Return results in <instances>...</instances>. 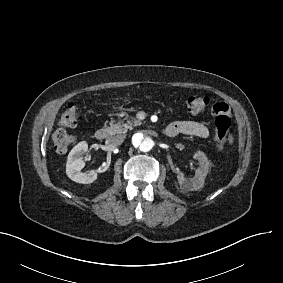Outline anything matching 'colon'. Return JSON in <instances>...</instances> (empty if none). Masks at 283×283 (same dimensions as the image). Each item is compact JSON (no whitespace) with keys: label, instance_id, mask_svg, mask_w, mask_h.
Listing matches in <instances>:
<instances>
[{"label":"colon","instance_id":"colon-1","mask_svg":"<svg viewBox=\"0 0 283 283\" xmlns=\"http://www.w3.org/2000/svg\"><path fill=\"white\" fill-rule=\"evenodd\" d=\"M208 98L203 95H191L186 99V107L189 114L198 115L206 110ZM81 120V113L77 106L69 105L63 110L59 125L62 127L76 126ZM231 127V118L225 114H219L215 119V128L212 141L217 150H222L228 139ZM52 142L57 153L68 151L73 143V136L63 128L52 132Z\"/></svg>","mask_w":283,"mask_h":283}]
</instances>
